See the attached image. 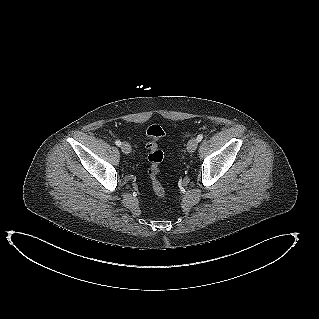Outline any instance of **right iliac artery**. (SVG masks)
Wrapping results in <instances>:
<instances>
[{
    "label": "right iliac artery",
    "instance_id": "82829eb1",
    "mask_svg": "<svg viewBox=\"0 0 319 319\" xmlns=\"http://www.w3.org/2000/svg\"><path fill=\"white\" fill-rule=\"evenodd\" d=\"M115 144H116L118 147L121 146L120 140H116V141H115Z\"/></svg>",
    "mask_w": 319,
    "mask_h": 319
}]
</instances>
